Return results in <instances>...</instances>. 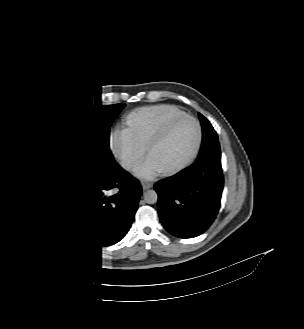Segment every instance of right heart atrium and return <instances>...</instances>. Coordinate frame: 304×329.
Returning a JSON list of instances; mask_svg holds the SVG:
<instances>
[{"instance_id":"right-heart-atrium-1","label":"right heart atrium","mask_w":304,"mask_h":329,"mask_svg":"<svg viewBox=\"0 0 304 329\" xmlns=\"http://www.w3.org/2000/svg\"><path fill=\"white\" fill-rule=\"evenodd\" d=\"M112 143L115 153L122 161L129 164L131 167L142 164L144 158L143 152L136 154L131 137L126 130H115Z\"/></svg>"}]
</instances>
